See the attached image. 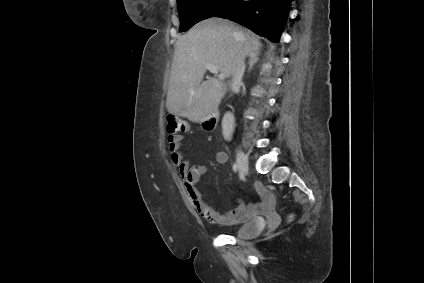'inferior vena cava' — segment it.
<instances>
[{"label": "inferior vena cava", "instance_id": "inferior-vena-cava-1", "mask_svg": "<svg viewBox=\"0 0 424 283\" xmlns=\"http://www.w3.org/2000/svg\"><path fill=\"white\" fill-rule=\"evenodd\" d=\"M244 56H240L237 59L236 67L234 69L233 78H232V89L234 90L237 86L240 85L244 72H245V63Z\"/></svg>", "mask_w": 424, "mask_h": 283}]
</instances>
